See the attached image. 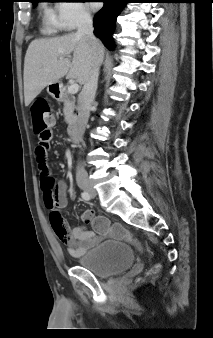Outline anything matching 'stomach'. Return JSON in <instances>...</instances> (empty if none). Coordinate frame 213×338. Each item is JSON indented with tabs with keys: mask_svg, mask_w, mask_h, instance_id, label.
I'll return each instance as SVG.
<instances>
[{
	"mask_svg": "<svg viewBox=\"0 0 213 338\" xmlns=\"http://www.w3.org/2000/svg\"><path fill=\"white\" fill-rule=\"evenodd\" d=\"M60 87H61L60 84L54 83V84L48 85L47 91H48V93L51 94L52 96H55L56 93L59 91Z\"/></svg>",
	"mask_w": 213,
	"mask_h": 338,
	"instance_id": "1",
	"label": "stomach"
}]
</instances>
